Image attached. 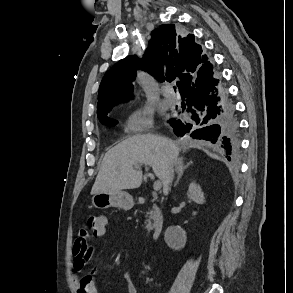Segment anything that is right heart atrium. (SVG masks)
<instances>
[{"label": "right heart atrium", "mask_w": 293, "mask_h": 293, "mask_svg": "<svg viewBox=\"0 0 293 293\" xmlns=\"http://www.w3.org/2000/svg\"><path fill=\"white\" fill-rule=\"evenodd\" d=\"M154 125L153 113L147 109H137L126 120V128L131 132L149 130Z\"/></svg>", "instance_id": "1"}]
</instances>
